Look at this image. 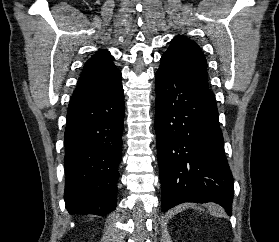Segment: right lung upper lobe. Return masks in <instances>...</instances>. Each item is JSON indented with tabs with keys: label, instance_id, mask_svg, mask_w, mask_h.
Returning <instances> with one entry per match:
<instances>
[{
	"label": "right lung upper lobe",
	"instance_id": "cb5924a9",
	"mask_svg": "<svg viewBox=\"0 0 279 242\" xmlns=\"http://www.w3.org/2000/svg\"><path fill=\"white\" fill-rule=\"evenodd\" d=\"M121 77V72L113 64L110 53L100 49L85 63L70 102L107 94L121 86Z\"/></svg>",
	"mask_w": 279,
	"mask_h": 242
}]
</instances>
